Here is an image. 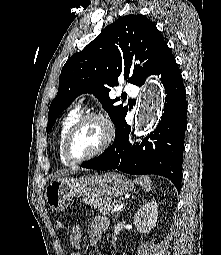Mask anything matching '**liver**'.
Segmentation results:
<instances>
[{
  "mask_svg": "<svg viewBox=\"0 0 221 255\" xmlns=\"http://www.w3.org/2000/svg\"><path fill=\"white\" fill-rule=\"evenodd\" d=\"M69 174H72V171H61L58 173V175H61V176H65V175H69Z\"/></svg>",
  "mask_w": 221,
  "mask_h": 255,
  "instance_id": "obj_1",
  "label": "liver"
}]
</instances>
